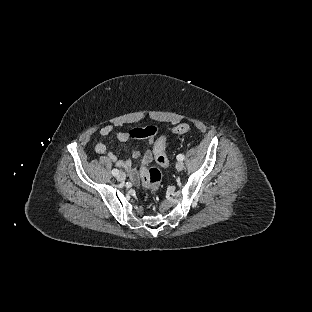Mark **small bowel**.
Masks as SVG:
<instances>
[{
	"mask_svg": "<svg viewBox=\"0 0 312 312\" xmlns=\"http://www.w3.org/2000/svg\"><path fill=\"white\" fill-rule=\"evenodd\" d=\"M140 129L141 128H135V129H132L130 131H128V130L119 131L116 133V138L120 142H127L132 138L147 139L149 142V147L143 155L142 163L143 164H149L154 159H156V156L154 154V150H155L154 149V140L152 139V135H149L146 138L141 137L139 134ZM112 132H113V126L111 124H107V125H104L100 129L99 135L101 138H105V137L109 136ZM93 148L98 154L105 156L108 159V161H110L111 163L115 164L116 166L124 169L128 173L129 178L134 185L139 184V181H140L139 172H138L137 167H135L133 165L132 160L121 159V158L117 157L115 154H113L112 152H109L106 144L102 140H95L93 143ZM140 155H141V153L138 150H135L132 153V157L134 159L139 158Z\"/></svg>",
	"mask_w": 312,
	"mask_h": 312,
	"instance_id": "obj_1",
	"label": "small bowel"
}]
</instances>
